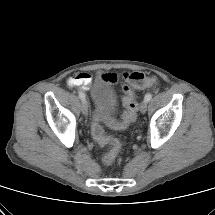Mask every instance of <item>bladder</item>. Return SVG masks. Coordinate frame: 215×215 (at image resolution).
<instances>
[{"label": "bladder", "mask_w": 215, "mask_h": 215, "mask_svg": "<svg viewBox=\"0 0 215 215\" xmlns=\"http://www.w3.org/2000/svg\"><path fill=\"white\" fill-rule=\"evenodd\" d=\"M92 98L98 117L110 119L117 110L118 98L112 84L104 77L97 78L92 88Z\"/></svg>", "instance_id": "1"}]
</instances>
